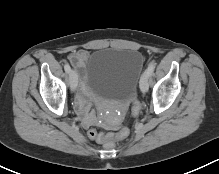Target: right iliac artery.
Segmentation results:
<instances>
[{
    "mask_svg": "<svg viewBox=\"0 0 219 174\" xmlns=\"http://www.w3.org/2000/svg\"><path fill=\"white\" fill-rule=\"evenodd\" d=\"M64 69H65V71H66L67 73H69V72L71 71V67H70L69 64H65V65H64Z\"/></svg>",
    "mask_w": 219,
    "mask_h": 174,
    "instance_id": "82829eb1",
    "label": "right iliac artery"
}]
</instances>
